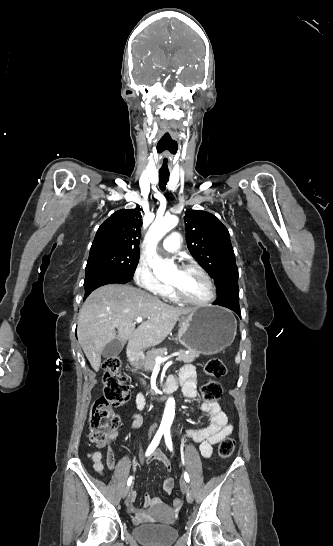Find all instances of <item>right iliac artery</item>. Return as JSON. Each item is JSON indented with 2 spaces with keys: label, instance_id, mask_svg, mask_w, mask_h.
Masks as SVG:
<instances>
[{
  "label": "right iliac artery",
  "instance_id": "82829eb1",
  "mask_svg": "<svg viewBox=\"0 0 333 546\" xmlns=\"http://www.w3.org/2000/svg\"><path fill=\"white\" fill-rule=\"evenodd\" d=\"M164 433V430L163 429H159L156 433V435L154 436L151 444L149 445L147 451H146V456H149L155 449L156 447L158 446V444L160 443V440L162 438V435ZM132 480H133V477L130 476L128 481H127V485L130 486L131 483H132Z\"/></svg>",
  "mask_w": 333,
  "mask_h": 546
}]
</instances>
